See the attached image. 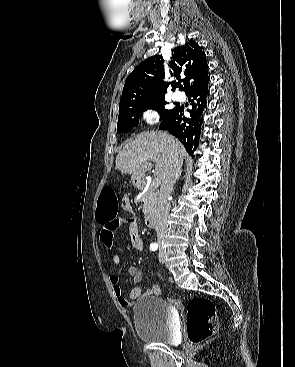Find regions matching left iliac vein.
Listing matches in <instances>:
<instances>
[{"label": "left iliac vein", "mask_w": 295, "mask_h": 367, "mask_svg": "<svg viewBox=\"0 0 295 367\" xmlns=\"http://www.w3.org/2000/svg\"><path fill=\"white\" fill-rule=\"evenodd\" d=\"M158 258H159V261H160L161 263H164V262H165V253H164V251H163V250H160V251H159Z\"/></svg>", "instance_id": "left-iliac-vein-1"}]
</instances>
